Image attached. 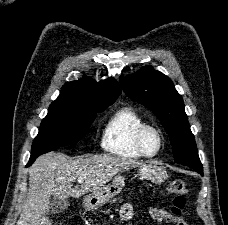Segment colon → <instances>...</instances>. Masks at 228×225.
Here are the masks:
<instances>
[{"mask_svg":"<svg viewBox=\"0 0 228 225\" xmlns=\"http://www.w3.org/2000/svg\"><path fill=\"white\" fill-rule=\"evenodd\" d=\"M168 193L173 197L171 214H182L187 194V185L183 180H173L168 186Z\"/></svg>","mask_w":228,"mask_h":225,"instance_id":"1","label":"colon"}]
</instances>
